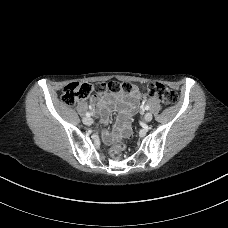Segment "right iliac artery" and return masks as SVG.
Listing matches in <instances>:
<instances>
[{
  "label": "right iliac artery",
  "mask_w": 228,
  "mask_h": 228,
  "mask_svg": "<svg viewBox=\"0 0 228 228\" xmlns=\"http://www.w3.org/2000/svg\"><path fill=\"white\" fill-rule=\"evenodd\" d=\"M86 116H87V117H90V116H91V113H90V112H87V113H86Z\"/></svg>",
  "instance_id": "right-iliac-artery-1"
}]
</instances>
